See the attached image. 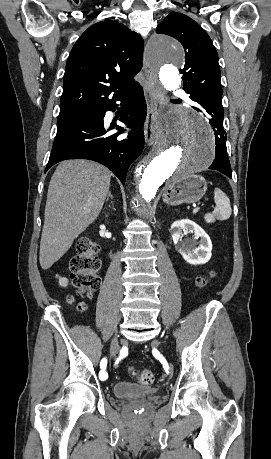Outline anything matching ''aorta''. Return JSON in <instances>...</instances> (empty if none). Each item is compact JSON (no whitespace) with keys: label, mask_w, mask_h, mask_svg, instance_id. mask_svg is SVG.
I'll return each mask as SVG.
<instances>
[{"label":"aorta","mask_w":271,"mask_h":459,"mask_svg":"<svg viewBox=\"0 0 271 459\" xmlns=\"http://www.w3.org/2000/svg\"><path fill=\"white\" fill-rule=\"evenodd\" d=\"M155 86L178 89L181 78L178 66L184 60L181 44L173 38H154L147 51ZM212 131L206 120L190 109L164 102L153 149L135 171L134 211L138 218L153 215L150 202L158 188L167 181L190 177L207 169L214 159Z\"/></svg>","instance_id":"762f6f07"}]
</instances>
